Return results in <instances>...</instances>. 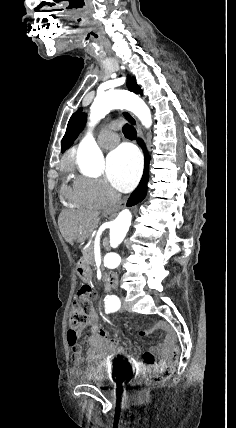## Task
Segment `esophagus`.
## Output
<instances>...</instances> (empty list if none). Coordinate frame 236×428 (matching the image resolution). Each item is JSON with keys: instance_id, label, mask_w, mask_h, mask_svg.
Returning <instances> with one entry per match:
<instances>
[{"instance_id": "esophagus-1", "label": "esophagus", "mask_w": 236, "mask_h": 428, "mask_svg": "<svg viewBox=\"0 0 236 428\" xmlns=\"http://www.w3.org/2000/svg\"><path fill=\"white\" fill-rule=\"evenodd\" d=\"M122 116L123 118L130 124L132 125L135 130L137 131L138 135L140 137H142V129L141 126L139 125L138 121L136 120V118L134 117V115H132L131 112H128L127 110H123L122 111Z\"/></svg>"}]
</instances>
